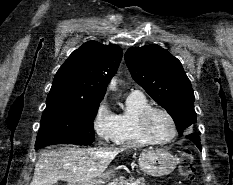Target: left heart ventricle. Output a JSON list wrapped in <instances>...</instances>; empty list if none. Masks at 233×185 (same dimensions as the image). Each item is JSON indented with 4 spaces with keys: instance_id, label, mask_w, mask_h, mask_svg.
<instances>
[{
    "instance_id": "1",
    "label": "left heart ventricle",
    "mask_w": 233,
    "mask_h": 185,
    "mask_svg": "<svg viewBox=\"0 0 233 185\" xmlns=\"http://www.w3.org/2000/svg\"><path fill=\"white\" fill-rule=\"evenodd\" d=\"M149 131L156 140H165L172 134V125L168 117L161 112H154L149 118Z\"/></svg>"
}]
</instances>
